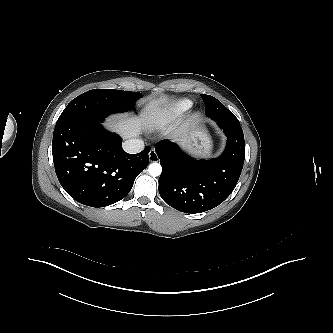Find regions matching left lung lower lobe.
<instances>
[{
	"label": "left lung lower lobe",
	"mask_w": 333,
	"mask_h": 333,
	"mask_svg": "<svg viewBox=\"0 0 333 333\" xmlns=\"http://www.w3.org/2000/svg\"><path fill=\"white\" fill-rule=\"evenodd\" d=\"M227 137L224 152L215 159H194L178 145L162 141L155 146L162 173L159 193L171 207L185 213H200L221 204L236 186L245 158V143L239 122L213 119Z\"/></svg>",
	"instance_id": "left-lung-lower-lobe-1"
}]
</instances>
